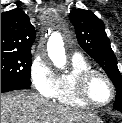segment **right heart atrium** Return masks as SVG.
<instances>
[{
    "instance_id": "obj_1",
    "label": "right heart atrium",
    "mask_w": 122,
    "mask_h": 123,
    "mask_svg": "<svg viewBox=\"0 0 122 123\" xmlns=\"http://www.w3.org/2000/svg\"><path fill=\"white\" fill-rule=\"evenodd\" d=\"M30 79L36 91L46 98L54 96L57 75L49 61L42 56H36L30 66Z\"/></svg>"
}]
</instances>
